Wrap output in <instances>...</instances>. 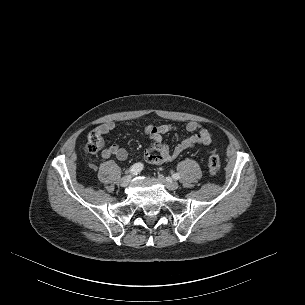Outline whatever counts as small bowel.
Here are the masks:
<instances>
[{
  "label": "small bowel",
  "instance_id": "c3829d8e",
  "mask_svg": "<svg viewBox=\"0 0 305 305\" xmlns=\"http://www.w3.org/2000/svg\"><path fill=\"white\" fill-rule=\"evenodd\" d=\"M185 130L189 136L179 137L177 145L171 150L164 142L163 135L176 133L178 127L174 124H153L149 123L144 127V132L151 140L150 146L145 150V158L148 162L155 165H162L176 159L184 150L195 146H211L214 143V135L211 130L206 129L198 121H190L185 125ZM115 129L112 121L103 123L97 128L101 135H106ZM104 159L115 157L118 160H126L127 151L117 144H112L102 152Z\"/></svg>",
  "mask_w": 305,
  "mask_h": 305
}]
</instances>
